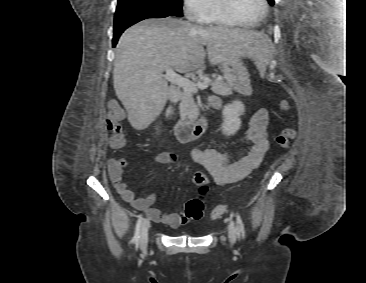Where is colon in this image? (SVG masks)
I'll return each instance as SVG.
<instances>
[{"mask_svg": "<svg viewBox=\"0 0 366 283\" xmlns=\"http://www.w3.org/2000/svg\"><path fill=\"white\" fill-rule=\"evenodd\" d=\"M281 109L288 110V104L286 101H281ZM124 117L123 109L116 102H112L107 111L106 124L110 133L109 146L112 148H123L126 145V139L121 127V121ZM296 136V129L293 126L285 127L278 134L276 141L284 149H288L291 141ZM193 183L198 188L201 194L207 191L208 179L202 172H196L193 175ZM227 208L225 205L216 206L211 212L212 219L220 218ZM204 212V204L200 199H191L187 202L183 217L186 220H198L202 218Z\"/></svg>", "mask_w": 366, "mask_h": 283, "instance_id": "obj_1", "label": "colon"}]
</instances>
